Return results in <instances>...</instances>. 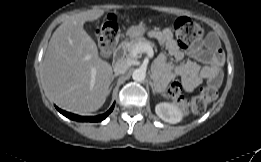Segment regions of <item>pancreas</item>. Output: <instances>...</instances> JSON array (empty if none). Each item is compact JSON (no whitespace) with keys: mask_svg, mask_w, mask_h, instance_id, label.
I'll return each mask as SVG.
<instances>
[{"mask_svg":"<svg viewBox=\"0 0 261 162\" xmlns=\"http://www.w3.org/2000/svg\"><path fill=\"white\" fill-rule=\"evenodd\" d=\"M138 44H149L150 46H154L153 43H151L149 40H147L146 38L144 37H137L135 39H132L131 41L125 43L123 45V50L125 52H131V50Z\"/></svg>","mask_w":261,"mask_h":162,"instance_id":"pancreas-1","label":"pancreas"}]
</instances>
